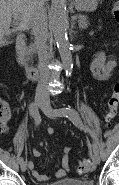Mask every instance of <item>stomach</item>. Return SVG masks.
Instances as JSON below:
<instances>
[{"label": "stomach", "instance_id": "0dacf381", "mask_svg": "<svg viewBox=\"0 0 119 185\" xmlns=\"http://www.w3.org/2000/svg\"><path fill=\"white\" fill-rule=\"evenodd\" d=\"M100 0H74L75 8L78 11L90 12L97 8Z\"/></svg>", "mask_w": 119, "mask_h": 185}]
</instances>
